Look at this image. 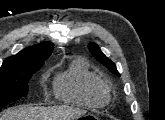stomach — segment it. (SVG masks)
<instances>
[{
    "mask_svg": "<svg viewBox=\"0 0 165 120\" xmlns=\"http://www.w3.org/2000/svg\"><path fill=\"white\" fill-rule=\"evenodd\" d=\"M80 119V120H89V119H98V117H96L93 114H87V113H83L79 116L76 117V120Z\"/></svg>",
    "mask_w": 165,
    "mask_h": 120,
    "instance_id": "stomach-1",
    "label": "stomach"
}]
</instances>
